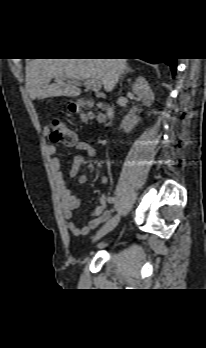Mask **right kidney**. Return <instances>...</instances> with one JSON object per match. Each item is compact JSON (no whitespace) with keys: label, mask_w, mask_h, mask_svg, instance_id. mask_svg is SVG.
I'll return each instance as SVG.
<instances>
[{"label":"right kidney","mask_w":206,"mask_h":348,"mask_svg":"<svg viewBox=\"0 0 206 348\" xmlns=\"http://www.w3.org/2000/svg\"><path fill=\"white\" fill-rule=\"evenodd\" d=\"M132 91L141 99L145 106L149 107L153 104L154 93L143 77H138L136 79L135 83L132 86ZM139 121L140 118L135 114V112L128 113L122 121L124 132H131Z\"/></svg>","instance_id":"obj_1"}]
</instances>
